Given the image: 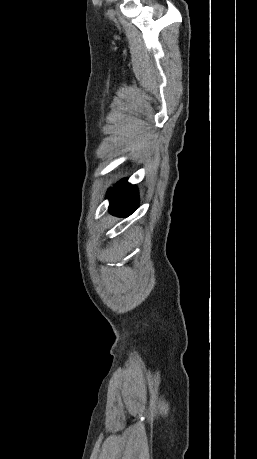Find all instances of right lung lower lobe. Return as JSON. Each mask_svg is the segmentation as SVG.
<instances>
[{
  "label": "right lung lower lobe",
  "mask_w": 257,
  "mask_h": 459,
  "mask_svg": "<svg viewBox=\"0 0 257 459\" xmlns=\"http://www.w3.org/2000/svg\"><path fill=\"white\" fill-rule=\"evenodd\" d=\"M109 210L118 216H128L133 213L138 204V191L127 180L119 181L113 189L109 190Z\"/></svg>",
  "instance_id": "1"
}]
</instances>
